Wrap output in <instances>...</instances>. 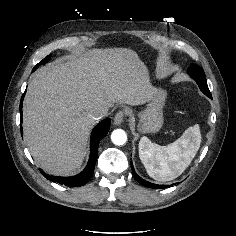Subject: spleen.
<instances>
[{
  "label": "spleen",
  "mask_w": 236,
  "mask_h": 236,
  "mask_svg": "<svg viewBox=\"0 0 236 236\" xmlns=\"http://www.w3.org/2000/svg\"><path fill=\"white\" fill-rule=\"evenodd\" d=\"M201 144L199 125L189 127L183 135L167 146H160L143 136L139 142V158L150 177L170 181L190 165Z\"/></svg>",
  "instance_id": "1"
}]
</instances>
